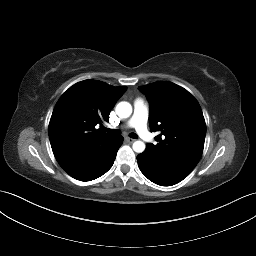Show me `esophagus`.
Masks as SVG:
<instances>
[{
	"instance_id": "obj_1",
	"label": "esophagus",
	"mask_w": 256,
	"mask_h": 256,
	"mask_svg": "<svg viewBox=\"0 0 256 256\" xmlns=\"http://www.w3.org/2000/svg\"><path fill=\"white\" fill-rule=\"evenodd\" d=\"M125 140L128 142V143H133L135 140L134 139H132V138H125Z\"/></svg>"
}]
</instances>
